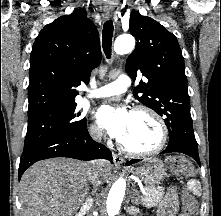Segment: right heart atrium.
Returning a JSON list of instances; mask_svg holds the SVG:
<instances>
[{"mask_svg":"<svg viewBox=\"0 0 221 216\" xmlns=\"http://www.w3.org/2000/svg\"><path fill=\"white\" fill-rule=\"evenodd\" d=\"M89 135L94 141H100L103 137L101 129L96 124H91L89 126Z\"/></svg>","mask_w":221,"mask_h":216,"instance_id":"obj_1","label":"right heart atrium"}]
</instances>
